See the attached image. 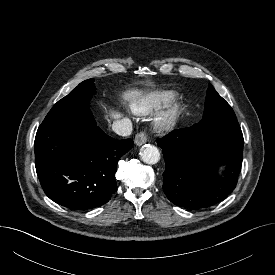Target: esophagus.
Returning <instances> with one entry per match:
<instances>
[{
  "mask_svg": "<svg viewBox=\"0 0 275 275\" xmlns=\"http://www.w3.org/2000/svg\"><path fill=\"white\" fill-rule=\"evenodd\" d=\"M147 142V135L144 132H140L135 136V144L141 146Z\"/></svg>",
  "mask_w": 275,
  "mask_h": 275,
  "instance_id": "34e87169",
  "label": "esophagus"
}]
</instances>
